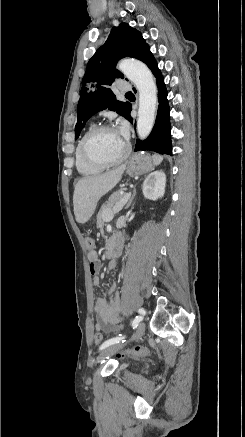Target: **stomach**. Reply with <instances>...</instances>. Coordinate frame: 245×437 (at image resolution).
I'll list each match as a JSON object with an SVG mask.
<instances>
[{"label":"stomach","instance_id":"obj_1","mask_svg":"<svg viewBox=\"0 0 245 437\" xmlns=\"http://www.w3.org/2000/svg\"><path fill=\"white\" fill-rule=\"evenodd\" d=\"M153 158L149 154H134L127 163V174L131 177L148 173L153 169Z\"/></svg>","mask_w":245,"mask_h":437}]
</instances>
